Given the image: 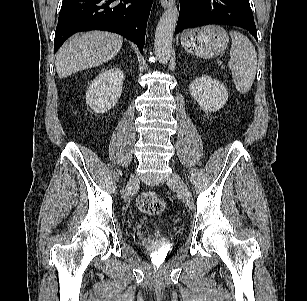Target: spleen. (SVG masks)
Listing matches in <instances>:
<instances>
[{
	"mask_svg": "<svg viewBox=\"0 0 307 301\" xmlns=\"http://www.w3.org/2000/svg\"><path fill=\"white\" fill-rule=\"evenodd\" d=\"M232 45L228 62L232 79L239 93H247L257 70V53L252 42L238 31H230Z\"/></svg>",
	"mask_w": 307,
	"mask_h": 301,
	"instance_id": "1",
	"label": "spleen"
}]
</instances>
